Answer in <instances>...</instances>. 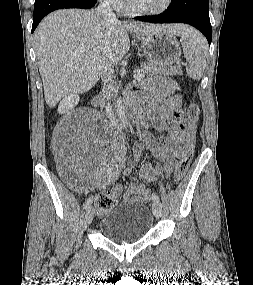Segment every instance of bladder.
Masks as SVG:
<instances>
[{"label": "bladder", "mask_w": 253, "mask_h": 285, "mask_svg": "<svg viewBox=\"0 0 253 285\" xmlns=\"http://www.w3.org/2000/svg\"><path fill=\"white\" fill-rule=\"evenodd\" d=\"M153 226L149 207L138 201H124L107 209L99 222L100 233L116 243H132L144 238Z\"/></svg>", "instance_id": "1"}]
</instances>
